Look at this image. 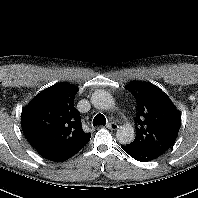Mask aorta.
I'll return each instance as SVG.
<instances>
[{
	"label": "aorta",
	"instance_id": "aorta-1",
	"mask_svg": "<svg viewBox=\"0 0 198 198\" xmlns=\"http://www.w3.org/2000/svg\"><path fill=\"white\" fill-rule=\"evenodd\" d=\"M94 107L101 110H108L114 107V99L110 93L104 90H97L91 97ZM117 139L122 144H129L135 138L134 128L131 125L121 126L116 133Z\"/></svg>",
	"mask_w": 198,
	"mask_h": 198
}]
</instances>
